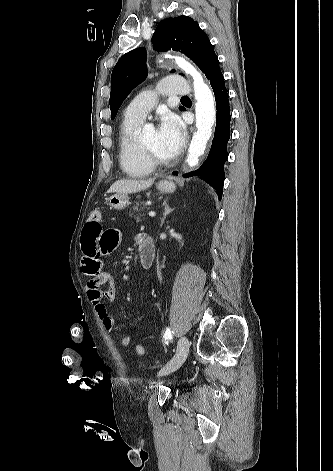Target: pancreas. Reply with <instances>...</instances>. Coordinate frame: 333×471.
I'll return each mask as SVG.
<instances>
[{"label": "pancreas", "mask_w": 333, "mask_h": 471, "mask_svg": "<svg viewBox=\"0 0 333 471\" xmlns=\"http://www.w3.org/2000/svg\"><path fill=\"white\" fill-rule=\"evenodd\" d=\"M143 205V208H147V204L145 202H136V205L132 207V211L130 213V216H134V218L137 221H141V217L143 216L140 213V206ZM135 212H138V214L135 215Z\"/></svg>", "instance_id": "1"}]
</instances>
